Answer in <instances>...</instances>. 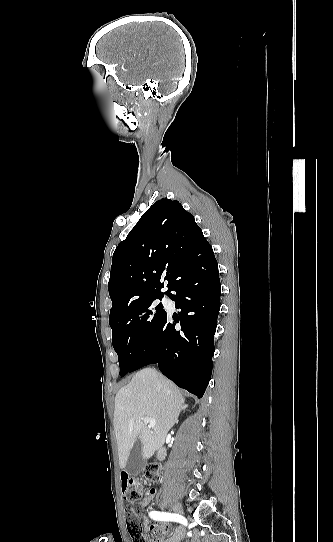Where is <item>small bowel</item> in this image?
<instances>
[{"label":"small bowel","mask_w":333,"mask_h":542,"mask_svg":"<svg viewBox=\"0 0 333 542\" xmlns=\"http://www.w3.org/2000/svg\"><path fill=\"white\" fill-rule=\"evenodd\" d=\"M119 478L121 480H124L126 478V475L124 473H121L119 475ZM156 495V490L154 488H149L145 491L144 498L139 502V506L146 508L150 505V503L154 500ZM145 528L153 533L158 532H165L168 531L170 528V525L168 523H158V524H150L148 517H143ZM183 536V530L181 528H176L174 530V537L170 540H165L166 542H174L179 540Z\"/></svg>","instance_id":"c3829d8e"}]
</instances>
